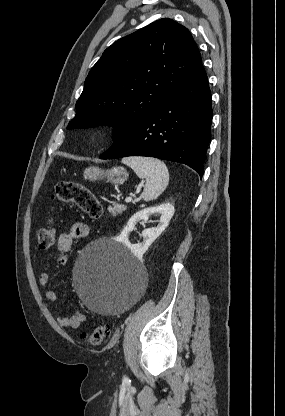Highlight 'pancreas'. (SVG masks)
I'll use <instances>...</instances> for the list:
<instances>
[{
	"label": "pancreas",
	"instance_id": "1",
	"mask_svg": "<svg viewBox=\"0 0 285 416\" xmlns=\"http://www.w3.org/2000/svg\"><path fill=\"white\" fill-rule=\"evenodd\" d=\"M107 210L111 216H118V214H122V212L127 210V206H122V204H113V206H108Z\"/></svg>",
	"mask_w": 285,
	"mask_h": 416
}]
</instances>
